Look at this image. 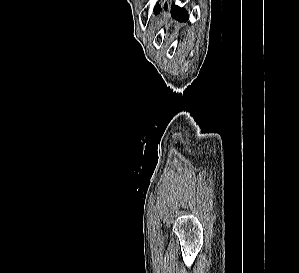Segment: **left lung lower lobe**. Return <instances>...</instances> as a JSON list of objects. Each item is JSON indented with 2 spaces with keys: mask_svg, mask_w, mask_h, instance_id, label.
I'll return each instance as SVG.
<instances>
[{
  "mask_svg": "<svg viewBox=\"0 0 299 273\" xmlns=\"http://www.w3.org/2000/svg\"><path fill=\"white\" fill-rule=\"evenodd\" d=\"M164 9L167 10V7L165 6ZM160 10H161L160 5H156V7L154 8L155 14L159 13ZM171 14L178 21L188 20L187 11L184 8H180L179 6L172 5Z\"/></svg>",
  "mask_w": 299,
  "mask_h": 273,
  "instance_id": "left-lung-lower-lobe-1",
  "label": "left lung lower lobe"
}]
</instances>
